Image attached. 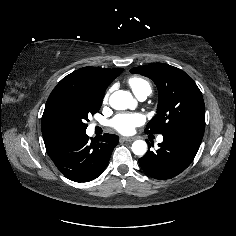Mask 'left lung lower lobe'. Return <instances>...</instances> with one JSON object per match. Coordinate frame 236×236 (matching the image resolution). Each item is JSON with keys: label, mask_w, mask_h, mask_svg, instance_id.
Listing matches in <instances>:
<instances>
[{"label": "left lung lower lobe", "mask_w": 236, "mask_h": 236, "mask_svg": "<svg viewBox=\"0 0 236 236\" xmlns=\"http://www.w3.org/2000/svg\"><path fill=\"white\" fill-rule=\"evenodd\" d=\"M204 134V128L177 129L163 134L158 150L150 151L139 159L141 168L159 180L171 179L183 172L194 159ZM150 148V144H149Z\"/></svg>", "instance_id": "left-lung-lower-lobe-1"}]
</instances>
